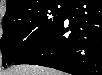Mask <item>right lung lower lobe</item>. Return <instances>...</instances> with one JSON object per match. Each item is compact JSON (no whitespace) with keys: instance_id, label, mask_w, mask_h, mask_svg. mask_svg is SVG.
Returning a JSON list of instances; mask_svg holds the SVG:
<instances>
[{"instance_id":"obj_1","label":"right lung lower lobe","mask_w":102,"mask_h":75,"mask_svg":"<svg viewBox=\"0 0 102 75\" xmlns=\"http://www.w3.org/2000/svg\"><path fill=\"white\" fill-rule=\"evenodd\" d=\"M99 9L97 1L71 0L62 21L30 54L14 64L46 66L72 75L100 74L101 27L96 26L101 21Z\"/></svg>"}]
</instances>
